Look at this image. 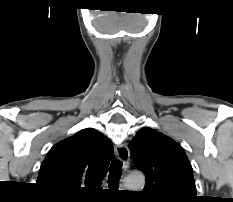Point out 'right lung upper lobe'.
<instances>
[{
  "mask_svg": "<svg viewBox=\"0 0 233 202\" xmlns=\"http://www.w3.org/2000/svg\"><path fill=\"white\" fill-rule=\"evenodd\" d=\"M113 156L112 142L93 128L55 144L41 164L37 183L57 196H81L100 185Z\"/></svg>",
  "mask_w": 233,
  "mask_h": 202,
  "instance_id": "cb5924a9",
  "label": "right lung upper lobe"
}]
</instances>
